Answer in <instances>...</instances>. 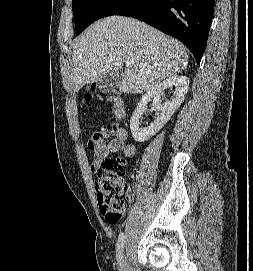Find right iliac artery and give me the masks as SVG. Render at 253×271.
Listing matches in <instances>:
<instances>
[{
  "label": "right iliac artery",
  "mask_w": 253,
  "mask_h": 271,
  "mask_svg": "<svg viewBox=\"0 0 253 271\" xmlns=\"http://www.w3.org/2000/svg\"><path fill=\"white\" fill-rule=\"evenodd\" d=\"M124 239L125 236L123 233H121L118 237V241H117V260L119 262L120 265H122V258H123V247H124Z\"/></svg>",
  "instance_id": "obj_1"
}]
</instances>
